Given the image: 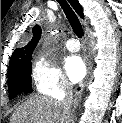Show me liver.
Masks as SVG:
<instances>
[{
    "mask_svg": "<svg viewBox=\"0 0 122 123\" xmlns=\"http://www.w3.org/2000/svg\"><path fill=\"white\" fill-rule=\"evenodd\" d=\"M73 115L63 114L59 101L46 96H32L12 114L10 123H71Z\"/></svg>",
    "mask_w": 122,
    "mask_h": 123,
    "instance_id": "1",
    "label": "liver"
}]
</instances>
